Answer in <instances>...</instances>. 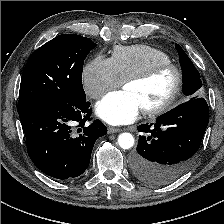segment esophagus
<instances>
[{
  "mask_svg": "<svg viewBox=\"0 0 224 224\" xmlns=\"http://www.w3.org/2000/svg\"><path fill=\"white\" fill-rule=\"evenodd\" d=\"M120 131H121V129H119V128H115V127H109L108 128V133L109 134L118 133Z\"/></svg>",
  "mask_w": 224,
  "mask_h": 224,
  "instance_id": "obj_1",
  "label": "esophagus"
}]
</instances>
